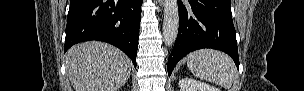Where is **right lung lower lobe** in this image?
I'll return each instance as SVG.
<instances>
[{"mask_svg": "<svg viewBox=\"0 0 304 91\" xmlns=\"http://www.w3.org/2000/svg\"><path fill=\"white\" fill-rule=\"evenodd\" d=\"M143 0H71L64 52L72 45L99 40L121 49L136 67Z\"/></svg>", "mask_w": 304, "mask_h": 91, "instance_id": "1", "label": "right lung lower lobe"}]
</instances>
